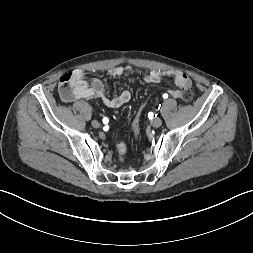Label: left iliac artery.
<instances>
[{"label":"left iliac artery","mask_w":253,"mask_h":253,"mask_svg":"<svg viewBox=\"0 0 253 253\" xmlns=\"http://www.w3.org/2000/svg\"><path fill=\"white\" fill-rule=\"evenodd\" d=\"M168 96L166 94L163 95V98H167Z\"/></svg>","instance_id":"obj_1"}]
</instances>
